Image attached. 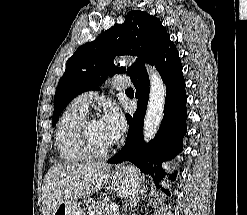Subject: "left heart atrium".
Returning <instances> with one entry per match:
<instances>
[{"instance_id":"1","label":"left heart atrium","mask_w":247,"mask_h":215,"mask_svg":"<svg viewBox=\"0 0 247 215\" xmlns=\"http://www.w3.org/2000/svg\"><path fill=\"white\" fill-rule=\"evenodd\" d=\"M99 122L113 143L120 138L126 129L124 116L115 107L106 110Z\"/></svg>"}]
</instances>
